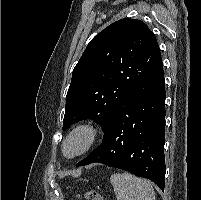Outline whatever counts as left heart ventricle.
Returning a JSON list of instances; mask_svg holds the SVG:
<instances>
[{
	"instance_id": "left-heart-ventricle-1",
	"label": "left heart ventricle",
	"mask_w": 201,
	"mask_h": 200,
	"mask_svg": "<svg viewBox=\"0 0 201 200\" xmlns=\"http://www.w3.org/2000/svg\"><path fill=\"white\" fill-rule=\"evenodd\" d=\"M86 136L82 133L74 135L67 143L66 153L74 154L85 145Z\"/></svg>"
}]
</instances>
